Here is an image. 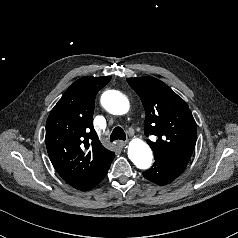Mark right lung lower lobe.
Segmentation results:
<instances>
[{
	"instance_id": "98d812e1",
	"label": "right lung lower lobe",
	"mask_w": 238,
	"mask_h": 238,
	"mask_svg": "<svg viewBox=\"0 0 238 238\" xmlns=\"http://www.w3.org/2000/svg\"><path fill=\"white\" fill-rule=\"evenodd\" d=\"M111 162L108 163L107 165H105L103 168H101L89 180L85 181L84 183H82L74 188L81 190V191H87V190H90V189L94 188L95 186H97L102 181V179L105 177L107 171L109 170Z\"/></svg>"
}]
</instances>
